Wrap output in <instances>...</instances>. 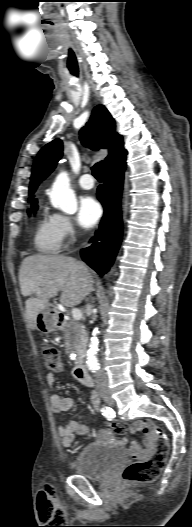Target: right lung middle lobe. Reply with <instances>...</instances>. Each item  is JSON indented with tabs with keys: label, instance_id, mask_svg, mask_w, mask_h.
I'll use <instances>...</instances> for the list:
<instances>
[{
	"label": "right lung middle lobe",
	"instance_id": "dd1d6c3e",
	"mask_svg": "<svg viewBox=\"0 0 192 527\" xmlns=\"http://www.w3.org/2000/svg\"><path fill=\"white\" fill-rule=\"evenodd\" d=\"M36 203H37L36 201L34 203H32V211L33 212L36 211V209H37Z\"/></svg>",
	"mask_w": 192,
	"mask_h": 527
}]
</instances>
